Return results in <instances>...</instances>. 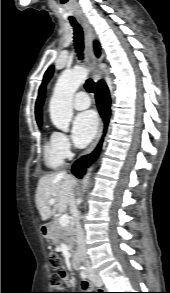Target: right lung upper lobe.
Returning a JSON list of instances; mask_svg holds the SVG:
<instances>
[{"mask_svg":"<svg viewBox=\"0 0 170 293\" xmlns=\"http://www.w3.org/2000/svg\"><path fill=\"white\" fill-rule=\"evenodd\" d=\"M95 51H96V55H99V46L97 43H95ZM43 100H44V92L40 95V97L37 99L36 102V120L38 125H41L42 123V117H41V106L43 104Z\"/></svg>","mask_w":170,"mask_h":293,"instance_id":"right-lung-upper-lobe-1","label":"right lung upper lobe"}]
</instances>
